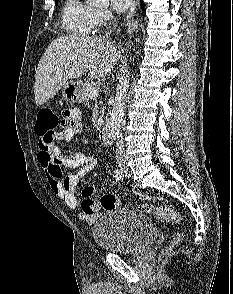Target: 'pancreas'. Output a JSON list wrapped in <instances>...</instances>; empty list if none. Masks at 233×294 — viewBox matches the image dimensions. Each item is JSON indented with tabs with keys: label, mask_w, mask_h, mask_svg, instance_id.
<instances>
[{
	"label": "pancreas",
	"mask_w": 233,
	"mask_h": 294,
	"mask_svg": "<svg viewBox=\"0 0 233 294\" xmlns=\"http://www.w3.org/2000/svg\"><path fill=\"white\" fill-rule=\"evenodd\" d=\"M92 88H94V85L91 82L86 81V82L83 83L82 88H81V99H82V101H84V102L89 101V99L92 97L89 94V91Z\"/></svg>",
	"instance_id": "obj_1"
}]
</instances>
